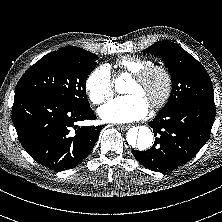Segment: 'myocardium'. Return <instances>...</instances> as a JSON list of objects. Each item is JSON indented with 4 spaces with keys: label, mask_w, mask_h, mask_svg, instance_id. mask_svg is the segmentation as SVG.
<instances>
[{
    "label": "myocardium",
    "mask_w": 222,
    "mask_h": 222,
    "mask_svg": "<svg viewBox=\"0 0 222 222\" xmlns=\"http://www.w3.org/2000/svg\"><path fill=\"white\" fill-rule=\"evenodd\" d=\"M155 73L161 74L164 78V90L161 96L150 105L151 109L158 110L165 106V104L170 99L173 91V77L170 70L165 66L152 64L133 74L132 77L138 82H145L149 77H151Z\"/></svg>",
    "instance_id": "1"
}]
</instances>
